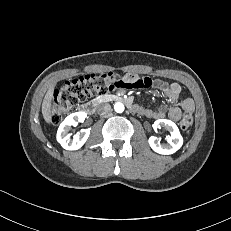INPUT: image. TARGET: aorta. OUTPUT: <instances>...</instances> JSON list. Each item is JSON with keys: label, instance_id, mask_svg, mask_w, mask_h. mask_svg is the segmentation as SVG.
<instances>
[{"label": "aorta", "instance_id": "1", "mask_svg": "<svg viewBox=\"0 0 231 231\" xmlns=\"http://www.w3.org/2000/svg\"><path fill=\"white\" fill-rule=\"evenodd\" d=\"M125 107H124V104L121 103V102H117L115 103L114 105V110L117 112V113H122L124 111Z\"/></svg>", "mask_w": 231, "mask_h": 231}]
</instances>
